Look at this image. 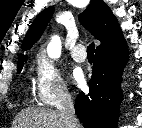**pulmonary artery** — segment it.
Instances as JSON below:
<instances>
[{"label": "pulmonary artery", "instance_id": "1", "mask_svg": "<svg viewBox=\"0 0 142 128\" xmlns=\"http://www.w3.org/2000/svg\"><path fill=\"white\" fill-rule=\"evenodd\" d=\"M71 56L76 62H84L86 60V49L82 44L76 45L71 50Z\"/></svg>", "mask_w": 142, "mask_h": 128}]
</instances>
